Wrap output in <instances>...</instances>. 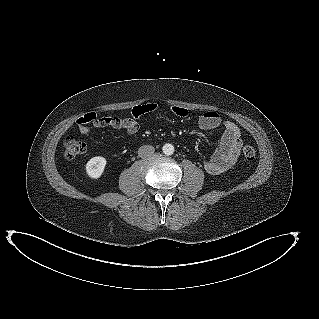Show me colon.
<instances>
[{"label":"colon","mask_w":319,"mask_h":319,"mask_svg":"<svg viewBox=\"0 0 319 319\" xmlns=\"http://www.w3.org/2000/svg\"><path fill=\"white\" fill-rule=\"evenodd\" d=\"M94 116L93 113H88L80 117L77 120V124H88L94 119ZM63 147L64 155L68 159H73L82 154L86 148L85 144L73 135H68L64 138ZM242 153L246 159L252 160L256 156V149L250 144H245L242 148Z\"/></svg>","instance_id":"obj_1"}]
</instances>
